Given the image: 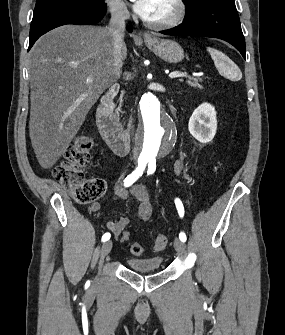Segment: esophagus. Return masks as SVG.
<instances>
[{
  "label": "esophagus",
  "instance_id": "esophagus-1",
  "mask_svg": "<svg viewBox=\"0 0 285 335\" xmlns=\"http://www.w3.org/2000/svg\"><path fill=\"white\" fill-rule=\"evenodd\" d=\"M143 36H144V38H151L150 33H144Z\"/></svg>",
  "mask_w": 285,
  "mask_h": 335
}]
</instances>
